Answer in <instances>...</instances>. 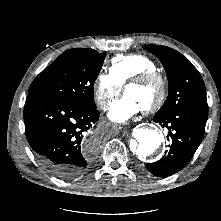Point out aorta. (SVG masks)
<instances>
[{"mask_svg": "<svg viewBox=\"0 0 221 221\" xmlns=\"http://www.w3.org/2000/svg\"><path fill=\"white\" fill-rule=\"evenodd\" d=\"M136 145L133 151L136 155L143 159L151 155L159 148L162 143L161 134L155 129H138L134 133Z\"/></svg>", "mask_w": 221, "mask_h": 221, "instance_id": "1", "label": "aorta"}]
</instances>
